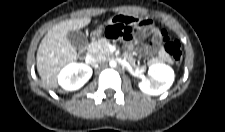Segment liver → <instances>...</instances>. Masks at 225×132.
I'll return each mask as SVG.
<instances>
[{
	"instance_id": "liver-1",
	"label": "liver",
	"mask_w": 225,
	"mask_h": 132,
	"mask_svg": "<svg viewBox=\"0 0 225 132\" xmlns=\"http://www.w3.org/2000/svg\"><path fill=\"white\" fill-rule=\"evenodd\" d=\"M90 17L70 19L53 26L42 39L37 51V71L48 88H57L59 71L77 60L76 49L67 38L71 30H80L90 23Z\"/></svg>"
}]
</instances>
